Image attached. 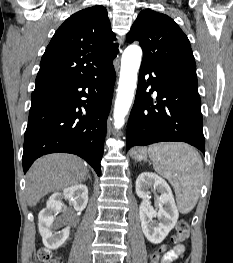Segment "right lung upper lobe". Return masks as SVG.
I'll use <instances>...</instances> for the list:
<instances>
[{"mask_svg":"<svg viewBox=\"0 0 233 263\" xmlns=\"http://www.w3.org/2000/svg\"><path fill=\"white\" fill-rule=\"evenodd\" d=\"M107 10L83 9L70 16L55 32L42 56L35 90L78 81L95 75L118 52Z\"/></svg>","mask_w":233,"mask_h":263,"instance_id":"right-lung-upper-lobe-1","label":"right lung upper lobe"}]
</instances>
